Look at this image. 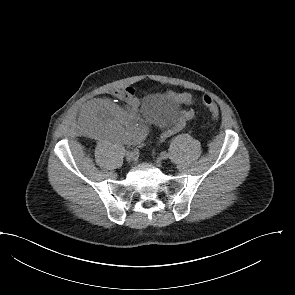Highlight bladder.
Instances as JSON below:
<instances>
[{"mask_svg":"<svg viewBox=\"0 0 295 295\" xmlns=\"http://www.w3.org/2000/svg\"><path fill=\"white\" fill-rule=\"evenodd\" d=\"M141 111L157 126L167 128L176 120L180 106L162 94H150L143 99Z\"/></svg>","mask_w":295,"mask_h":295,"instance_id":"obj_1","label":"bladder"}]
</instances>
